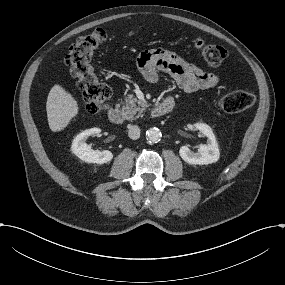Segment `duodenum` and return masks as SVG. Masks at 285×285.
Listing matches in <instances>:
<instances>
[{"mask_svg":"<svg viewBox=\"0 0 285 285\" xmlns=\"http://www.w3.org/2000/svg\"><path fill=\"white\" fill-rule=\"evenodd\" d=\"M173 107L174 99L172 97H167L160 104L152 108L151 114L153 117H161L170 113ZM107 115L114 124H120L123 121V115L120 109L115 105L108 108Z\"/></svg>","mask_w":285,"mask_h":285,"instance_id":"obj_1","label":"duodenum"}]
</instances>
